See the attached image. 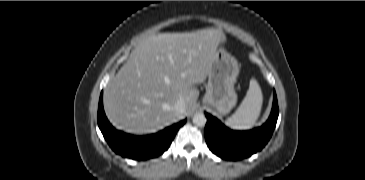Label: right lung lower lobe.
<instances>
[{
  "mask_svg": "<svg viewBox=\"0 0 365 180\" xmlns=\"http://www.w3.org/2000/svg\"><path fill=\"white\" fill-rule=\"evenodd\" d=\"M182 120L156 134L147 136H133L116 130L107 120L103 109V94L101 93L98 105V125L112 150L127 158L146 160L157 157L167 150L178 129L184 125Z\"/></svg>",
  "mask_w": 365,
  "mask_h": 180,
  "instance_id": "obj_1",
  "label": "right lung lower lobe"
}]
</instances>
